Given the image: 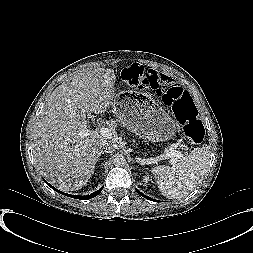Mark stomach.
<instances>
[{
    "mask_svg": "<svg viewBox=\"0 0 253 253\" xmlns=\"http://www.w3.org/2000/svg\"><path fill=\"white\" fill-rule=\"evenodd\" d=\"M113 111L124 126L147 141H166L175 134L174 120L148 95L120 92L114 98Z\"/></svg>",
    "mask_w": 253,
    "mask_h": 253,
    "instance_id": "obj_1",
    "label": "stomach"
}]
</instances>
